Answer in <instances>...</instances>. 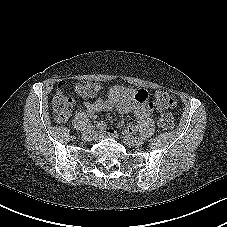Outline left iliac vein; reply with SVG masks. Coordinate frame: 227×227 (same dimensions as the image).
<instances>
[{
  "instance_id": "1",
  "label": "left iliac vein",
  "mask_w": 227,
  "mask_h": 227,
  "mask_svg": "<svg viewBox=\"0 0 227 227\" xmlns=\"http://www.w3.org/2000/svg\"><path fill=\"white\" fill-rule=\"evenodd\" d=\"M123 141L126 145L131 147H138L143 143V141L140 138H134L127 134L123 136Z\"/></svg>"
}]
</instances>
